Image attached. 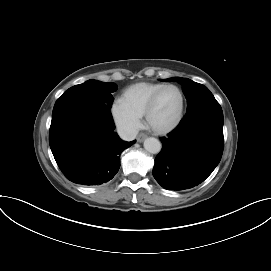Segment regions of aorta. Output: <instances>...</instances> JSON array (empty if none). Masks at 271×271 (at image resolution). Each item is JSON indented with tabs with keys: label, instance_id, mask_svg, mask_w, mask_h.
<instances>
[{
	"label": "aorta",
	"instance_id": "762f6f07",
	"mask_svg": "<svg viewBox=\"0 0 271 271\" xmlns=\"http://www.w3.org/2000/svg\"><path fill=\"white\" fill-rule=\"evenodd\" d=\"M144 148L151 154H157L161 151L162 145L158 139L149 137L144 141Z\"/></svg>",
	"mask_w": 271,
	"mask_h": 271
}]
</instances>
